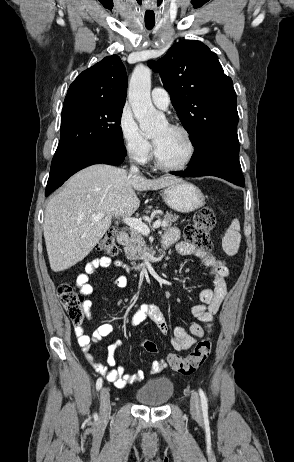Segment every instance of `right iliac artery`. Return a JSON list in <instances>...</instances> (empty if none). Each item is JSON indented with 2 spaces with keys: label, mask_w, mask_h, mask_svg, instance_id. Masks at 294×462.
Returning <instances> with one entry per match:
<instances>
[{
  "label": "right iliac artery",
  "mask_w": 294,
  "mask_h": 462,
  "mask_svg": "<svg viewBox=\"0 0 294 462\" xmlns=\"http://www.w3.org/2000/svg\"><path fill=\"white\" fill-rule=\"evenodd\" d=\"M102 383H103V380L102 378H98L97 382H96V389L99 391L102 387ZM95 417L97 416V414L94 415Z\"/></svg>",
  "instance_id": "obj_1"
}]
</instances>
